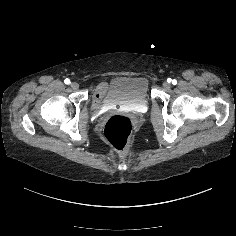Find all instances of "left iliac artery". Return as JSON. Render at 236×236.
Listing matches in <instances>:
<instances>
[{
    "mask_svg": "<svg viewBox=\"0 0 236 236\" xmlns=\"http://www.w3.org/2000/svg\"><path fill=\"white\" fill-rule=\"evenodd\" d=\"M172 83H173V84H176V83H177V81L174 79V80L172 81Z\"/></svg>",
    "mask_w": 236,
    "mask_h": 236,
    "instance_id": "left-iliac-artery-1",
    "label": "left iliac artery"
}]
</instances>
